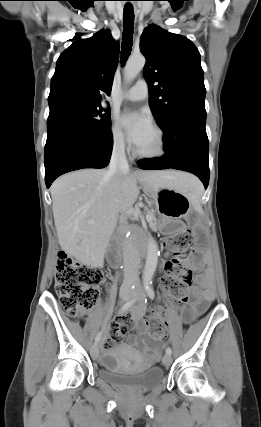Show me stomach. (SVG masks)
Wrapping results in <instances>:
<instances>
[{
  "label": "stomach",
  "mask_w": 261,
  "mask_h": 427,
  "mask_svg": "<svg viewBox=\"0 0 261 427\" xmlns=\"http://www.w3.org/2000/svg\"><path fill=\"white\" fill-rule=\"evenodd\" d=\"M156 210L161 218H182L191 210V200L183 191L175 188H160L153 196Z\"/></svg>",
  "instance_id": "obj_1"
}]
</instances>
